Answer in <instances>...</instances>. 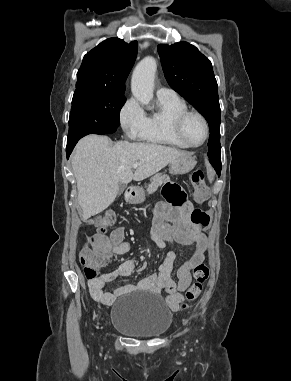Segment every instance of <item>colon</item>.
I'll return each instance as SVG.
<instances>
[{"label":"colon","mask_w":291,"mask_h":381,"mask_svg":"<svg viewBox=\"0 0 291 381\" xmlns=\"http://www.w3.org/2000/svg\"><path fill=\"white\" fill-rule=\"evenodd\" d=\"M192 185L194 193L199 201H204L209 194V188L205 182L204 174L196 171L192 175ZM179 189V188H176ZM170 201L179 204L181 199L170 196ZM115 212L109 210L99 214L94 220H90V224H94L100 233L106 232L115 222ZM192 223L198 228H206L209 225V216L199 208H196L191 214ZM109 254L105 251H96L89 246H85L80 252V260L84 267V275L87 279L97 277L100 268L105 266L109 261ZM209 267L205 263H199L193 269L194 283L186 292L187 301L196 300L203 288L204 282L209 277ZM182 309L186 308V304L181 305Z\"/></svg>","instance_id":"obj_1"}]
</instances>
